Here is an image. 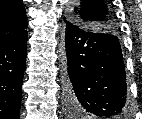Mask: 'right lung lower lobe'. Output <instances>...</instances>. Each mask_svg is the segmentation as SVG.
I'll use <instances>...</instances> for the list:
<instances>
[{
  "label": "right lung lower lobe",
  "mask_w": 142,
  "mask_h": 119,
  "mask_svg": "<svg viewBox=\"0 0 142 119\" xmlns=\"http://www.w3.org/2000/svg\"><path fill=\"white\" fill-rule=\"evenodd\" d=\"M27 31L0 43V119H19L26 64Z\"/></svg>",
  "instance_id": "98d812e1"
}]
</instances>
